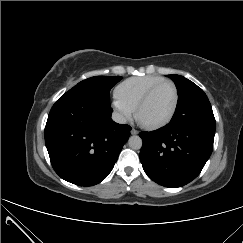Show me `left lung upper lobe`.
I'll list each match as a JSON object with an SVG mask.
<instances>
[{"instance_id":"obj_1","label":"left lung upper lobe","mask_w":243,"mask_h":243,"mask_svg":"<svg viewBox=\"0 0 243 243\" xmlns=\"http://www.w3.org/2000/svg\"><path fill=\"white\" fill-rule=\"evenodd\" d=\"M178 91V102L170 122L215 129L216 123L210 102L204 91L180 75H168Z\"/></svg>"}]
</instances>
